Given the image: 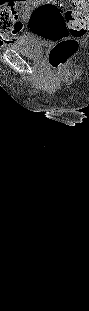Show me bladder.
Wrapping results in <instances>:
<instances>
[{"instance_id": "1", "label": "bladder", "mask_w": 89, "mask_h": 311, "mask_svg": "<svg viewBox=\"0 0 89 311\" xmlns=\"http://www.w3.org/2000/svg\"><path fill=\"white\" fill-rule=\"evenodd\" d=\"M8 47L31 59L41 57L44 52L43 44L32 37H24L19 41L9 44Z\"/></svg>"}]
</instances>
